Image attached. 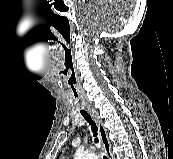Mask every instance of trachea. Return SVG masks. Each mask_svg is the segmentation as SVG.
Instances as JSON below:
<instances>
[{
	"mask_svg": "<svg viewBox=\"0 0 173 159\" xmlns=\"http://www.w3.org/2000/svg\"><path fill=\"white\" fill-rule=\"evenodd\" d=\"M76 83V81H75ZM75 93V92H74ZM76 95V94H75ZM81 115L84 117V119L89 123V125L91 126V130L93 132V136L95 137V143L97 144L99 142L98 138H97V126L95 124V122L92 121L90 115L85 111V110H81L80 111ZM104 159H108L104 156Z\"/></svg>",
	"mask_w": 173,
	"mask_h": 159,
	"instance_id": "trachea-1",
	"label": "trachea"
}]
</instances>
